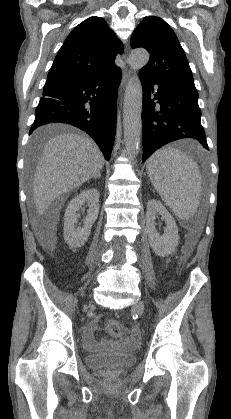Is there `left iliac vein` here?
<instances>
[{
  "label": "left iliac vein",
  "mask_w": 231,
  "mask_h": 419,
  "mask_svg": "<svg viewBox=\"0 0 231 419\" xmlns=\"http://www.w3.org/2000/svg\"><path fill=\"white\" fill-rule=\"evenodd\" d=\"M133 310L138 313L139 315H142L144 312V304L141 301H138L133 305Z\"/></svg>",
  "instance_id": "1"
}]
</instances>
